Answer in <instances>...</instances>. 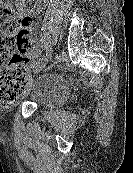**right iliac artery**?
I'll return each mask as SVG.
<instances>
[{
    "instance_id": "82829eb1",
    "label": "right iliac artery",
    "mask_w": 133,
    "mask_h": 173,
    "mask_svg": "<svg viewBox=\"0 0 133 173\" xmlns=\"http://www.w3.org/2000/svg\"><path fill=\"white\" fill-rule=\"evenodd\" d=\"M50 54H51V50L48 48V49L46 50V55L43 56L42 59H39L38 61H34L30 66H31V67L34 66L35 64H37L39 61L43 60L45 57L49 56Z\"/></svg>"
}]
</instances>
